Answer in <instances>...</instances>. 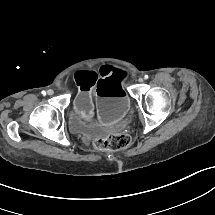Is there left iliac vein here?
Returning a JSON list of instances; mask_svg holds the SVG:
<instances>
[{
	"label": "left iliac vein",
	"instance_id": "4c4485c4",
	"mask_svg": "<svg viewBox=\"0 0 215 215\" xmlns=\"http://www.w3.org/2000/svg\"><path fill=\"white\" fill-rule=\"evenodd\" d=\"M138 81H139L140 83H142L144 80H143V78L141 77V78L138 79Z\"/></svg>",
	"mask_w": 215,
	"mask_h": 215
}]
</instances>
